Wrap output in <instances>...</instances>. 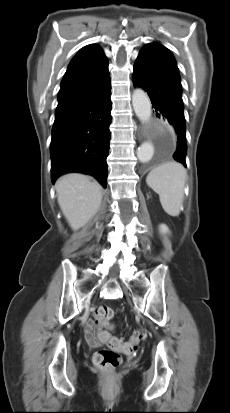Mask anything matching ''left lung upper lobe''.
Masks as SVG:
<instances>
[{
  "instance_id": "obj_1",
  "label": "left lung upper lobe",
  "mask_w": 230,
  "mask_h": 413,
  "mask_svg": "<svg viewBox=\"0 0 230 413\" xmlns=\"http://www.w3.org/2000/svg\"><path fill=\"white\" fill-rule=\"evenodd\" d=\"M146 46H151L154 48H157L158 50H160L165 56H167L169 58V60L176 65V61L172 55V53L163 45L159 44V43H149Z\"/></svg>"
}]
</instances>
